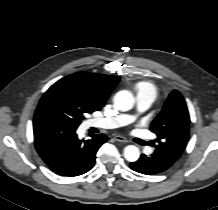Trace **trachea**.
I'll list each match as a JSON object with an SVG mask.
<instances>
[{"mask_svg":"<svg viewBox=\"0 0 218 210\" xmlns=\"http://www.w3.org/2000/svg\"><path fill=\"white\" fill-rule=\"evenodd\" d=\"M141 144L144 145V144H147V142L141 141Z\"/></svg>","mask_w":218,"mask_h":210,"instance_id":"obj_1","label":"trachea"}]
</instances>
